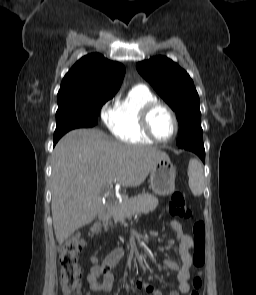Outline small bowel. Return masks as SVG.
<instances>
[{"mask_svg": "<svg viewBox=\"0 0 256 295\" xmlns=\"http://www.w3.org/2000/svg\"><path fill=\"white\" fill-rule=\"evenodd\" d=\"M169 226L175 234L180 259L179 263L170 258L164 260V265L168 269L177 272L178 288L171 291L169 295H183L188 293L190 290L188 281L190 277V267L192 264L190 249L193 244V239L183 231L182 226L178 221L171 220L169 222ZM124 255V249L116 248L106 256L101 264H95L92 266L87 275L89 291L86 295L112 290L114 285L113 271ZM134 285L138 289H145L150 295H161L156 287L150 283L138 280Z\"/></svg>", "mask_w": 256, "mask_h": 295, "instance_id": "1", "label": "small bowel"}]
</instances>
